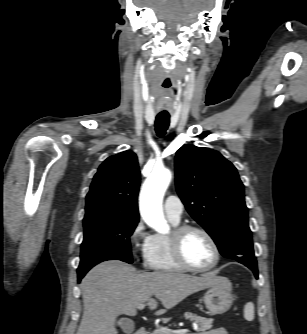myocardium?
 I'll return each instance as SVG.
<instances>
[{
  "label": "myocardium",
  "instance_id": "f54148a6",
  "mask_svg": "<svg viewBox=\"0 0 307 334\" xmlns=\"http://www.w3.org/2000/svg\"><path fill=\"white\" fill-rule=\"evenodd\" d=\"M199 232L204 235L210 242L214 250V260L206 267H196L191 265L186 259L183 252V241L186 235L190 232ZM172 256L176 263L184 270L193 272H206L215 268L220 261V248L214 237L203 227L191 224H184L176 226L168 237Z\"/></svg>",
  "mask_w": 307,
  "mask_h": 334
}]
</instances>
